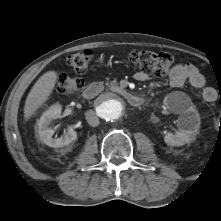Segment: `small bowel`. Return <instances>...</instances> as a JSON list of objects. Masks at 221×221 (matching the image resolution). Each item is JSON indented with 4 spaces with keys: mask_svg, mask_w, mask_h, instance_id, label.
Instances as JSON below:
<instances>
[{
    "mask_svg": "<svg viewBox=\"0 0 221 221\" xmlns=\"http://www.w3.org/2000/svg\"><path fill=\"white\" fill-rule=\"evenodd\" d=\"M135 79L146 81L148 75L143 72H137ZM185 82H189L193 87L201 90L202 98L207 102H214L218 99V93L214 88L205 87V79L198 68L191 63L175 64L169 72V83L172 87H182Z\"/></svg>",
    "mask_w": 221,
    "mask_h": 221,
    "instance_id": "1",
    "label": "small bowel"
}]
</instances>
